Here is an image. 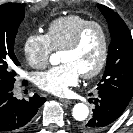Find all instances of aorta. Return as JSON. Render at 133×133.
<instances>
[{
	"instance_id": "762f6f07",
	"label": "aorta",
	"mask_w": 133,
	"mask_h": 133,
	"mask_svg": "<svg viewBox=\"0 0 133 133\" xmlns=\"http://www.w3.org/2000/svg\"><path fill=\"white\" fill-rule=\"evenodd\" d=\"M50 62L52 64H56L58 62L57 55H52L50 57ZM88 115H89V108L86 104L77 103L76 105H74L72 110V116L75 120L80 122L85 121L88 118Z\"/></svg>"
}]
</instances>
